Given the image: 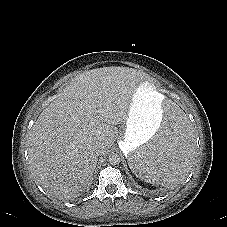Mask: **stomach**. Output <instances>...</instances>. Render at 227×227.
I'll return each instance as SVG.
<instances>
[{"label": "stomach", "instance_id": "stomach-1", "mask_svg": "<svg viewBox=\"0 0 227 227\" xmlns=\"http://www.w3.org/2000/svg\"><path fill=\"white\" fill-rule=\"evenodd\" d=\"M164 103V96L156 91L151 82L143 81L138 86L133 95L121 144L126 158L130 152L137 150L157 134L155 124L163 118Z\"/></svg>", "mask_w": 227, "mask_h": 227}]
</instances>
